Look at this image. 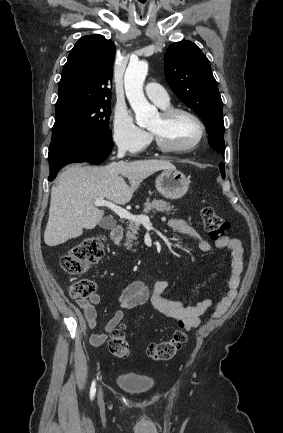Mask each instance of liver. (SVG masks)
Returning <instances> with one entry per match:
<instances>
[{
    "instance_id": "liver-1",
    "label": "liver",
    "mask_w": 283,
    "mask_h": 433,
    "mask_svg": "<svg viewBox=\"0 0 283 433\" xmlns=\"http://www.w3.org/2000/svg\"><path fill=\"white\" fill-rule=\"evenodd\" d=\"M175 170L169 160H133L110 162L106 166L73 164L57 178L51 188L49 219L44 233L48 247L62 245L80 237L83 229H95L102 221L104 210L95 206L96 198H107L116 204H126L144 178L157 170ZM129 180L127 184L125 178Z\"/></svg>"
}]
</instances>
